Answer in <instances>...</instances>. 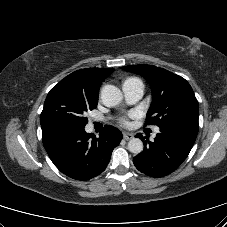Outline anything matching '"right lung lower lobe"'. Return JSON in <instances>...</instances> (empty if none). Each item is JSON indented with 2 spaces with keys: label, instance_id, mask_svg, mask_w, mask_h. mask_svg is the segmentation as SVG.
<instances>
[{
  "label": "right lung lower lobe",
  "instance_id": "98d812e1",
  "mask_svg": "<svg viewBox=\"0 0 227 227\" xmlns=\"http://www.w3.org/2000/svg\"><path fill=\"white\" fill-rule=\"evenodd\" d=\"M43 145L54 165L75 180H89L107 167L122 133L106 125L99 137L84 128L56 126L42 130Z\"/></svg>",
  "mask_w": 227,
  "mask_h": 227
}]
</instances>
